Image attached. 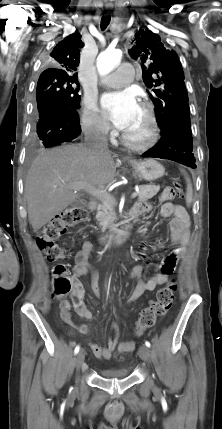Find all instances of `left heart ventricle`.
<instances>
[{
  "instance_id": "b2bd125f",
  "label": "left heart ventricle",
  "mask_w": 222,
  "mask_h": 429,
  "mask_svg": "<svg viewBox=\"0 0 222 429\" xmlns=\"http://www.w3.org/2000/svg\"><path fill=\"white\" fill-rule=\"evenodd\" d=\"M146 130H147V118L144 110L139 106L133 122L125 130V132L134 139H141L145 136Z\"/></svg>"
}]
</instances>
